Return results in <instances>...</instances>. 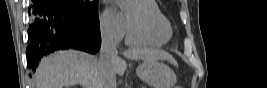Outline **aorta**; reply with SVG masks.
I'll use <instances>...</instances> for the list:
<instances>
[{"label":"aorta","mask_w":267,"mask_h":88,"mask_svg":"<svg viewBox=\"0 0 267 88\" xmlns=\"http://www.w3.org/2000/svg\"><path fill=\"white\" fill-rule=\"evenodd\" d=\"M128 0H116V2L120 5L123 6Z\"/></svg>","instance_id":"obj_1"}]
</instances>
